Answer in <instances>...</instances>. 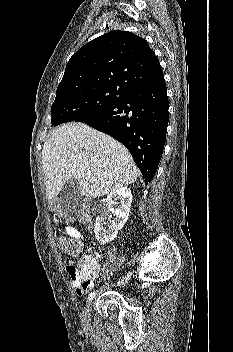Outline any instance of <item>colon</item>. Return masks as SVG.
I'll use <instances>...</instances> for the list:
<instances>
[{
  "instance_id": "obj_1",
  "label": "colon",
  "mask_w": 233,
  "mask_h": 352,
  "mask_svg": "<svg viewBox=\"0 0 233 352\" xmlns=\"http://www.w3.org/2000/svg\"><path fill=\"white\" fill-rule=\"evenodd\" d=\"M78 219L83 224L93 223L94 217L88 202H83L78 213ZM57 241L59 248L70 257L77 256L82 250V244L75 239L68 237H59ZM97 269L98 268L95 263L85 264L81 262L77 267H75V272L80 277L88 278L93 275L97 271Z\"/></svg>"
}]
</instances>
